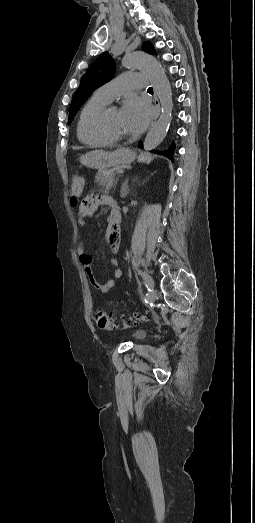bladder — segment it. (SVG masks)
Wrapping results in <instances>:
<instances>
[{"instance_id": "31cf9c89", "label": "bladder", "mask_w": 255, "mask_h": 523, "mask_svg": "<svg viewBox=\"0 0 255 523\" xmlns=\"http://www.w3.org/2000/svg\"><path fill=\"white\" fill-rule=\"evenodd\" d=\"M144 336H145V333H144V332H138V333L136 334V337L139 338V339L143 338Z\"/></svg>"}]
</instances>
